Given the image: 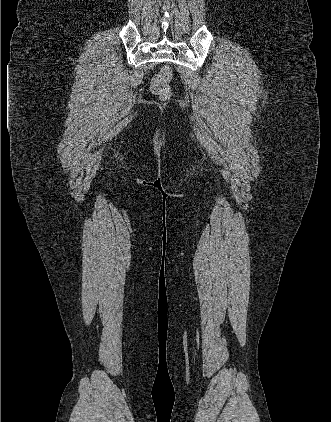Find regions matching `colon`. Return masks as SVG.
Instances as JSON below:
<instances>
[{
	"mask_svg": "<svg viewBox=\"0 0 331 422\" xmlns=\"http://www.w3.org/2000/svg\"><path fill=\"white\" fill-rule=\"evenodd\" d=\"M171 78V67L168 65L163 66L151 81V91L163 100L169 99L172 95L171 88L169 86Z\"/></svg>",
	"mask_w": 331,
	"mask_h": 422,
	"instance_id": "5ec220e1",
	"label": "colon"
}]
</instances>
